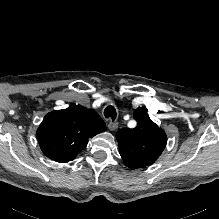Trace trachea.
<instances>
[{
  "instance_id": "3493384b",
  "label": "trachea",
  "mask_w": 219,
  "mask_h": 219,
  "mask_svg": "<svg viewBox=\"0 0 219 219\" xmlns=\"http://www.w3.org/2000/svg\"><path fill=\"white\" fill-rule=\"evenodd\" d=\"M104 115L106 118H110L112 121H114L116 119V109L114 108V106H107L104 110Z\"/></svg>"
}]
</instances>
